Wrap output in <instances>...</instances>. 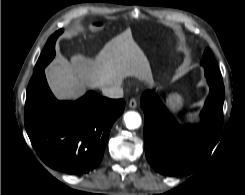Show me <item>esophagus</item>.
Returning a JSON list of instances; mask_svg holds the SVG:
<instances>
[{
	"label": "esophagus",
	"mask_w": 245,
	"mask_h": 195,
	"mask_svg": "<svg viewBox=\"0 0 245 195\" xmlns=\"http://www.w3.org/2000/svg\"><path fill=\"white\" fill-rule=\"evenodd\" d=\"M129 107L132 108V109H134V108L137 107V101H136V99H134V98L130 99V101H129Z\"/></svg>",
	"instance_id": "obj_1"
}]
</instances>
